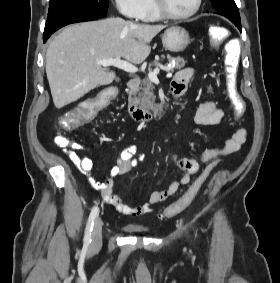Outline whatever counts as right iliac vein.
<instances>
[{
    "instance_id": "63e3f726",
    "label": "right iliac vein",
    "mask_w": 280,
    "mask_h": 283,
    "mask_svg": "<svg viewBox=\"0 0 280 283\" xmlns=\"http://www.w3.org/2000/svg\"><path fill=\"white\" fill-rule=\"evenodd\" d=\"M102 244V220L96 218L91 238V249H98Z\"/></svg>"
}]
</instances>
